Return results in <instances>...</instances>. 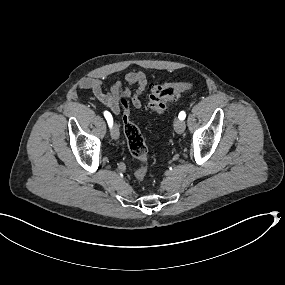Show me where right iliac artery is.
Wrapping results in <instances>:
<instances>
[{
	"mask_svg": "<svg viewBox=\"0 0 285 285\" xmlns=\"http://www.w3.org/2000/svg\"><path fill=\"white\" fill-rule=\"evenodd\" d=\"M104 116H105V118H106V120L108 122L109 127H112V125H113L112 115L108 111H105L104 112Z\"/></svg>",
	"mask_w": 285,
	"mask_h": 285,
	"instance_id": "82829eb1",
	"label": "right iliac artery"
}]
</instances>
